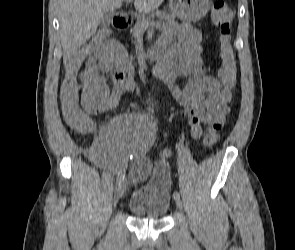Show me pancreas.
<instances>
[{
    "label": "pancreas",
    "mask_w": 295,
    "mask_h": 250,
    "mask_svg": "<svg viewBox=\"0 0 295 250\" xmlns=\"http://www.w3.org/2000/svg\"><path fill=\"white\" fill-rule=\"evenodd\" d=\"M155 17L159 18L160 22H163V26L176 24L175 16L166 11H156L152 12L148 16H138L134 27L131 29L132 36L135 40L138 39L140 34L146 30L145 27H142V24L152 22V19Z\"/></svg>",
    "instance_id": "pancreas-1"
}]
</instances>
